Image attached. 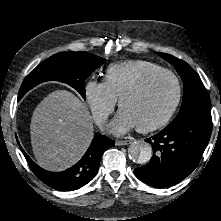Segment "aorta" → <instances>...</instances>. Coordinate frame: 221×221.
Segmentation results:
<instances>
[{"instance_id":"762f6f07","label":"aorta","mask_w":221,"mask_h":221,"mask_svg":"<svg viewBox=\"0 0 221 221\" xmlns=\"http://www.w3.org/2000/svg\"><path fill=\"white\" fill-rule=\"evenodd\" d=\"M153 151L149 143L144 141H135L128 147L129 158L138 164H145L150 161Z\"/></svg>"}]
</instances>
